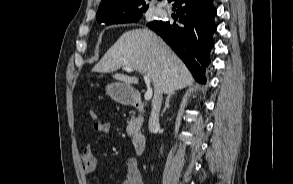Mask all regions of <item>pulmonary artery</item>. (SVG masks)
Here are the masks:
<instances>
[{
	"label": "pulmonary artery",
	"mask_w": 293,
	"mask_h": 184,
	"mask_svg": "<svg viewBox=\"0 0 293 184\" xmlns=\"http://www.w3.org/2000/svg\"><path fill=\"white\" fill-rule=\"evenodd\" d=\"M157 12H158V14H160V15H164V14H165V10H163V9H161V8H158V9H157Z\"/></svg>",
	"instance_id": "pulmonary-artery-1"
}]
</instances>
